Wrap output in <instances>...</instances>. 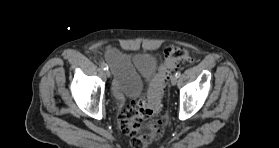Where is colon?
Segmentation results:
<instances>
[{
	"mask_svg": "<svg viewBox=\"0 0 279 148\" xmlns=\"http://www.w3.org/2000/svg\"><path fill=\"white\" fill-rule=\"evenodd\" d=\"M190 52L180 46H169L164 52V62L155 71L147 97L133 101L121 112V129L130 136L133 148H147L158 141L164 132V123L157 118L162 97L171 73L182 62H191Z\"/></svg>",
	"mask_w": 279,
	"mask_h": 148,
	"instance_id": "1",
	"label": "colon"
}]
</instances>
